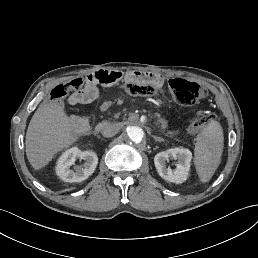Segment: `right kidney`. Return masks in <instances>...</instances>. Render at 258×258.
<instances>
[{
    "label": "right kidney",
    "instance_id": "ca27d5eb",
    "mask_svg": "<svg viewBox=\"0 0 258 258\" xmlns=\"http://www.w3.org/2000/svg\"><path fill=\"white\" fill-rule=\"evenodd\" d=\"M76 159H83L86 162L83 166H76L70 169ZM98 164V157L93 151H81L78 147L66 150L58 159L56 174L65 182H82L86 180L95 170Z\"/></svg>",
    "mask_w": 258,
    "mask_h": 258
}]
</instances>
